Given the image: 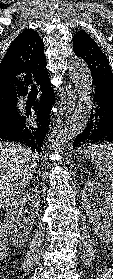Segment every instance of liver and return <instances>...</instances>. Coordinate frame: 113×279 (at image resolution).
<instances>
[{
    "instance_id": "obj_1",
    "label": "liver",
    "mask_w": 113,
    "mask_h": 279,
    "mask_svg": "<svg viewBox=\"0 0 113 279\" xmlns=\"http://www.w3.org/2000/svg\"><path fill=\"white\" fill-rule=\"evenodd\" d=\"M39 156L20 143L0 142V208L8 207L25 190Z\"/></svg>"
}]
</instances>
